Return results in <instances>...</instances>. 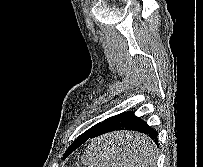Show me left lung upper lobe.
Instances as JSON below:
<instances>
[{
    "label": "left lung upper lobe",
    "instance_id": "obj_1",
    "mask_svg": "<svg viewBox=\"0 0 203 167\" xmlns=\"http://www.w3.org/2000/svg\"><path fill=\"white\" fill-rule=\"evenodd\" d=\"M100 123H98V124H96V125H94L93 127H91L90 129H88L87 131H85L82 135H80V136H85V135H87V134H91L97 127H98V125H99ZM71 146H72V144L70 145V147L67 149V151L65 152V154L71 149ZM74 150V149H73ZM72 150V151H73Z\"/></svg>",
    "mask_w": 203,
    "mask_h": 167
}]
</instances>
